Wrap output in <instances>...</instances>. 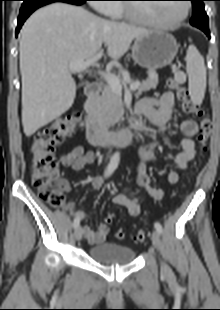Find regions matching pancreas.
<instances>
[{
	"label": "pancreas",
	"instance_id": "cf45deb5",
	"mask_svg": "<svg viewBox=\"0 0 220 310\" xmlns=\"http://www.w3.org/2000/svg\"><path fill=\"white\" fill-rule=\"evenodd\" d=\"M148 79L140 83L139 92L155 89L158 84V75L154 70L148 72ZM89 114L103 125H113L123 115L121 94L114 92L109 86L104 87L100 96L90 102Z\"/></svg>",
	"mask_w": 220,
	"mask_h": 310
}]
</instances>
